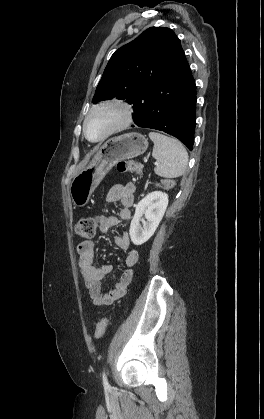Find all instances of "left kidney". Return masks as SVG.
I'll list each match as a JSON object with an SVG mask.
<instances>
[{"label":"left kidney","instance_id":"1","mask_svg":"<svg viewBox=\"0 0 264 419\" xmlns=\"http://www.w3.org/2000/svg\"><path fill=\"white\" fill-rule=\"evenodd\" d=\"M168 206V195L161 191L147 194L136 206L130 225V238L135 245H142L154 234ZM145 216L143 227L140 219Z\"/></svg>","mask_w":264,"mask_h":419}]
</instances>
